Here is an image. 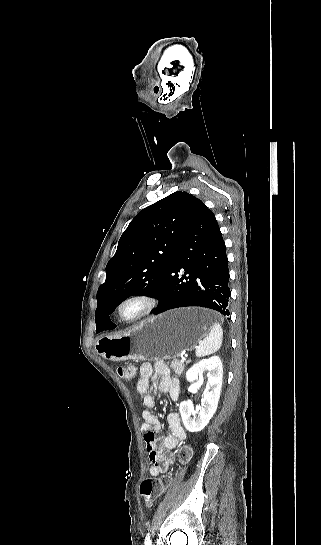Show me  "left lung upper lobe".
Masks as SVG:
<instances>
[{
  "label": "left lung upper lobe",
  "instance_id": "1",
  "mask_svg": "<svg viewBox=\"0 0 321 545\" xmlns=\"http://www.w3.org/2000/svg\"><path fill=\"white\" fill-rule=\"evenodd\" d=\"M201 202L187 192H174L134 217L106 266V281L97 292L96 332L111 322L109 315L125 298L156 295L179 240Z\"/></svg>",
  "mask_w": 321,
  "mask_h": 545
}]
</instances>
